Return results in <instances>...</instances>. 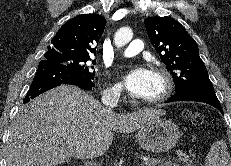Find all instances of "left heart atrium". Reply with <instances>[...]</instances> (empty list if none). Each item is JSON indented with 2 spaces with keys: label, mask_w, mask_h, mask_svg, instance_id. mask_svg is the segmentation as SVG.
<instances>
[{
  "label": "left heart atrium",
  "mask_w": 231,
  "mask_h": 166,
  "mask_svg": "<svg viewBox=\"0 0 231 166\" xmlns=\"http://www.w3.org/2000/svg\"><path fill=\"white\" fill-rule=\"evenodd\" d=\"M153 72L147 67H138L129 71L123 79V85L133 96L145 97L152 84Z\"/></svg>",
  "instance_id": "1"
}]
</instances>
